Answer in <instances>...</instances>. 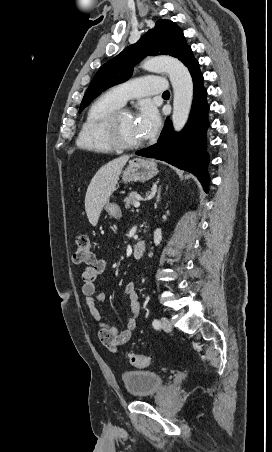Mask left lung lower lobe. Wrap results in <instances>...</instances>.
Listing matches in <instances>:
<instances>
[{
    "label": "left lung lower lobe",
    "mask_w": 272,
    "mask_h": 452,
    "mask_svg": "<svg viewBox=\"0 0 272 452\" xmlns=\"http://www.w3.org/2000/svg\"><path fill=\"white\" fill-rule=\"evenodd\" d=\"M188 67L194 84V97L190 117L186 127L179 133L173 131L167 118L158 142L136 152L139 156L154 157L180 169L189 171L198 177L205 191L208 190V156L205 153V132L209 125L207 114V92L203 86V76L199 64L190 49L182 60Z\"/></svg>",
    "instance_id": "0a47b994"
}]
</instances>
